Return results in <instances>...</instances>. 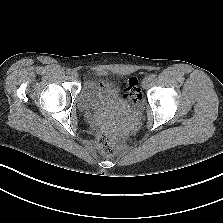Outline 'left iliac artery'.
<instances>
[{
	"instance_id": "left-iliac-artery-1",
	"label": "left iliac artery",
	"mask_w": 223,
	"mask_h": 223,
	"mask_svg": "<svg viewBox=\"0 0 223 223\" xmlns=\"http://www.w3.org/2000/svg\"><path fill=\"white\" fill-rule=\"evenodd\" d=\"M149 77H150L151 80H153V79L156 78V75L155 74H151Z\"/></svg>"
}]
</instances>
